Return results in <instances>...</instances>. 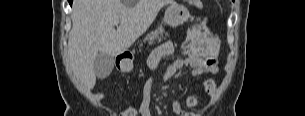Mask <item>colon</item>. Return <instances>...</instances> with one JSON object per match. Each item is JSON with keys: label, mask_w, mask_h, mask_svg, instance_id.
Masks as SVG:
<instances>
[{"label": "colon", "mask_w": 305, "mask_h": 116, "mask_svg": "<svg viewBox=\"0 0 305 116\" xmlns=\"http://www.w3.org/2000/svg\"><path fill=\"white\" fill-rule=\"evenodd\" d=\"M138 115H140L139 104H135V103L128 105L119 113L115 114V116H138Z\"/></svg>", "instance_id": "5ec220e1"}]
</instances>
